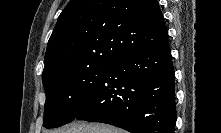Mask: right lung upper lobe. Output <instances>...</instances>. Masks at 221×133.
I'll list each match as a JSON object with an SVG mask.
<instances>
[{
    "label": "right lung upper lobe",
    "instance_id": "1",
    "mask_svg": "<svg viewBox=\"0 0 221 133\" xmlns=\"http://www.w3.org/2000/svg\"><path fill=\"white\" fill-rule=\"evenodd\" d=\"M167 39L157 0H70L49 39L42 76L65 66L111 64Z\"/></svg>",
    "mask_w": 221,
    "mask_h": 133
}]
</instances>
